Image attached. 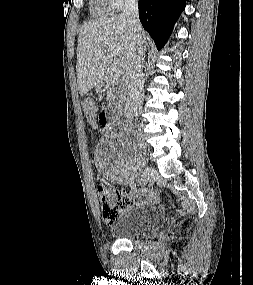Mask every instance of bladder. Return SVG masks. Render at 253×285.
<instances>
[{
    "label": "bladder",
    "mask_w": 253,
    "mask_h": 285,
    "mask_svg": "<svg viewBox=\"0 0 253 285\" xmlns=\"http://www.w3.org/2000/svg\"><path fill=\"white\" fill-rule=\"evenodd\" d=\"M162 218L156 208L131 206L111 225L110 232L118 239H132L157 227Z\"/></svg>",
    "instance_id": "obj_1"
}]
</instances>
